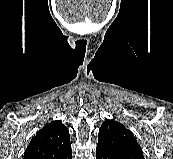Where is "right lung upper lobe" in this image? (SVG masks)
<instances>
[{
    "instance_id": "obj_1",
    "label": "right lung upper lobe",
    "mask_w": 173,
    "mask_h": 159,
    "mask_svg": "<svg viewBox=\"0 0 173 159\" xmlns=\"http://www.w3.org/2000/svg\"><path fill=\"white\" fill-rule=\"evenodd\" d=\"M71 151L69 131L57 120L36 133L26 148L24 159H61Z\"/></svg>"
}]
</instances>
